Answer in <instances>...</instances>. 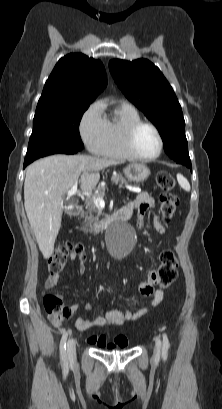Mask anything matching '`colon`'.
Listing matches in <instances>:
<instances>
[{
    "mask_svg": "<svg viewBox=\"0 0 222 409\" xmlns=\"http://www.w3.org/2000/svg\"><path fill=\"white\" fill-rule=\"evenodd\" d=\"M156 183L161 190L160 209L161 214L165 218H170L175 213L178 206V197L173 193L176 182L172 174L166 171H161L156 177ZM78 254L82 260L85 259L84 247L77 243H63L58 245L49 257L48 268L51 274H57L64 269V266L72 254ZM179 262L176 255L170 249L164 250L160 255V263L156 269L161 271V283L157 286L167 288L177 277ZM150 275V274H148ZM43 306L46 312L50 315L61 318H69L72 314L63 300L55 294H47L43 297Z\"/></svg>",
    "mask_w": 222,
    "mask_h": 409,
    "instance_id": "obj_1",
    "label": "colon"
}]
</instances>
